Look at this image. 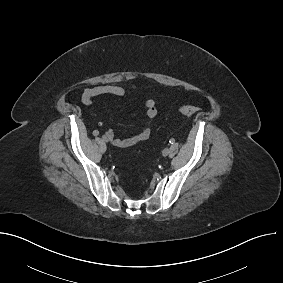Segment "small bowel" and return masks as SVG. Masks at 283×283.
Here are the masks:
<instances>
[{"label":"small bowel","mask_w":283,"mask_h":283,"mask_svg":"<svg viewBox=\"0 0 283 283\" xmlns=\"http://www.w3.org/2000/svg\"><path fill=\"white\" fill-rule=\"evenodd\" d=\"M110 95L122 97L125 95V89L118 85H100L91 88H85L82 93V102L85 105H91L95 98L99 96ZM146 116L148 118L147 125L137 134L126 138L115 137L112 130L106 132L107 137L112 144L119 148H128L142 141L147 140L151 135V124L158 115L156 102L154 99H147L144 102Z\"/></svg>","instance_id":"c3829d8e"}]
</instances>
